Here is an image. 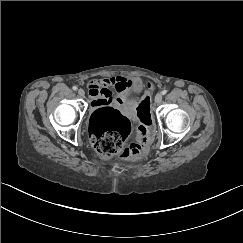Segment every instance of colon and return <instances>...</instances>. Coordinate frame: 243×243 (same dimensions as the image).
<instances>
[{"label":"colon","instance_id":"1","mask_svg":"<svg viewBox=\"0 0 243 243\" xmlns=\"http://www.w3.org/2000/svg\"><path fill=\"white\" fill-rule=\"evenodd\" d=\"M136 115L141 121L137 139L127 144L132 134L130 121L111 106L97 107L89 119L91 138L96 151L105 157L118 156L130 160L145 154L153 134L149 96L142 99L136 109Z\"/></svg>","mask_w":243,"mask_h":243}]
</instances>
